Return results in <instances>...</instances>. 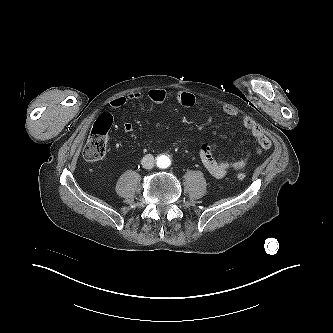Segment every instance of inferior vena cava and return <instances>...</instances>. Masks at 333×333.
<instances>
[{"label":"inferior vena cava","mask_w":333,"mask_h":333,"mask_svg":"<svg viewBox=\"0 0 333 333\" xmlns=\"http://www.w3.org/2000/svg\"><path fill=\"white\" fill-rule=\"evenodd\" d=\"M154 163V156L152 154L145 155L141 160V164L145 169H152L154 167Z\"/></svg>","instance_id":"1"}]
</instances>
